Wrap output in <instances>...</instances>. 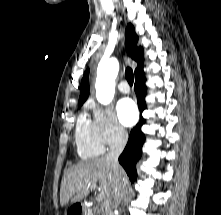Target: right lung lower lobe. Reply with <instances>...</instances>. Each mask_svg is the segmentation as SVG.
I'll list each match as a JSON object with an SVG mask.
<instances>
[{
	"label": "right lung lower lobe",
	"mask_w": 221,
	"mask_h": 215,
	"mask_svg": "<svg viewBox=\"0 0 221 215\" xmlns=\"http://www.w3.org/2000/svg\"><path fill=\"white\" fill-rule=\"evenodd\" d=\"M134 89L137 95L138 107L140 113H142L146 109L144 98L147 91L144 75L135 78ZM145 121L141 116L139 123L131 130L128 143L119 157V163L123 166L131 181H134L137 177L136 163L141 157L142 146L145 141L141 126L145 124Z\"/></svg>",
	"instance_id": "right-lung-lower-lobe-1"
}]
</instances>
